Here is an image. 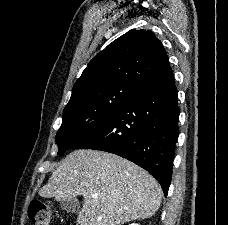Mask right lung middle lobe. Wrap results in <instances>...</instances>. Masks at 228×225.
Segmentation results:
<instances>
[{
    "label": "right lung middle lobe",
    "instance_id": "right-lung-middle-lobe-1",
    "mask_svg": "<svg viewBox=\"0 0 228 225\" xmlns=\"http://www.w3.org/2000/svg\"><path fill=\"white\" fill-rule=\"evenodd\" d=\"M137 89L126 83L114 82L90 88L69 102L56 135L58 154H63L109 118Z\"/></svg>",
    "mask_w": 228,
    "mask_h": 225
}]
</instances>
